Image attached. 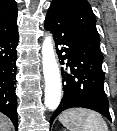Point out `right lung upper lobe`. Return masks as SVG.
Instances as JSON below:
<instances>
[{"label":"right lung upper lobe","instance_id":"obj_1","mask_svg":"<svg viewBox=\"0 0 117 131\" xmlns=\"http://www.w3.org/2000/svg\"><path fill=\"white\" fill-rule=\"evenodd\" d=\"M17 5L14 0H0V37L17 28Z\"/></svg>","mask_w":117,"mask_h":131}]
</instances>
